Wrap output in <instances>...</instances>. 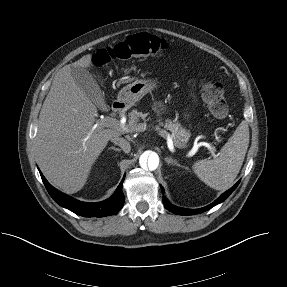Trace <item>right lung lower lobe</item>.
<instances>
[{"label":"right lung lower lobe","instance_id":"98d812e1","mask_svg":"<svg viewBox=\"0 0 287 287\" xmlns=\"http://www.w3.org/2000/svg\"><path fill=\"white\" fill-rule=\"evenodd\" d=\"M42 181L50 196L62 207L84 217H104L118 212L124 204L122 183L117 187L114 194L107 200L96 203H86L76 200L52 187L40 172Z\"/></svg>","mask_w":287,"mask_h":287}]
</instances>
